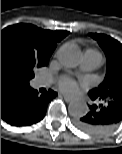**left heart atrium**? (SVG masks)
I'll list each match as a JSON object with an SVG mask.
<instances>
[{
	"mask_svg": "<svg viewBox=\"0 0 122 154\" xmlns=\"http://www.w3.org/2000/svg\"><path fill=\"white\" fill-rule=\"evenodd\" d=\"M77 87V83L70 78H62L59 81V88L66 93H74Z\"/></svg>",
	"mask_w": 122,
	"mask_h": 154,
	"instance_id": "1",
	"label": "left heart atrium"
}]
</instances>
